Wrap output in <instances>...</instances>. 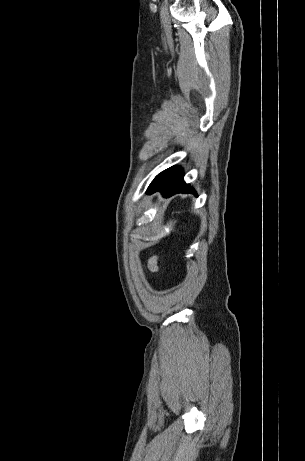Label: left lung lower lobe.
Here are the masks:
<instances>
[{"label": "left lung lower lobe", "instance_id": "0a47b994", "mask_svg": "<svg viewBox=\"0 0 305 461\" xmlns=\"http://www.w3.org/2000/svg\"><path fill=\"white\" fill-rule=\"evenodd\" d=\"M160 191L164 197L176 193H193L194 189L183 180V173L178 167L169 168L155 177L147 189V194Z\"/></svg>", "mask_w": 305, "mask_h": 461}]
</instances>
